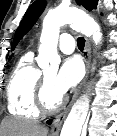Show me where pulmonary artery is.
<instances>
[{
	"label": "pulmonary artery",
	"instance_id": "pulmonary-artery-1",
	"mask_svg": "<svg viewBox=\"0 0 117 136\" xmlns=\"http://www.w3.org/2000/svg\"><path fill=\"white\" fill-rule=\"evenodd\" d=\"M58 47L60 51H62L65 54L72 53L75 49V42L73 37L69 33L61 34L59 38Z\"/></svg>",
	"mask_w": 117,
	"mask_h": 136
}]
</instances>
